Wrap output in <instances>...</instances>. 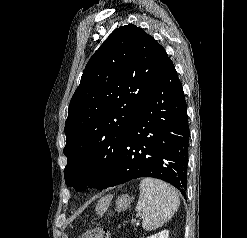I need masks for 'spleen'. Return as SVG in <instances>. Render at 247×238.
<instances>
[{
	"label": "spleen",
	"mask_w": 247,
	"mask_h": 238,
	"mask_svg": "<svg viewBox=\"0 0 247 238\" xmlns=\"http://www.w3.org/2000/svg\"><path fill=\"white\" fill-rule=\"evenodd\" d=\"M140 196L136 211L143 214L142 226L151 231L161 227L178 210L177 191L164 181L144 178L139 184Z\"/></svg>",
	"instance_id": "spleen-1"
}]
</instances>
